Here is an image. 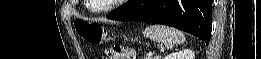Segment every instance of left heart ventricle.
<instances>
[{"label":"left heart ventricle","mask_w":261,"mask_h":59,"mask_svg":"<svg viewBox=\"0 0 261 59\" xmlns=\"http://www.w3.org/2000/svg\"><path fill=\"white\" fill-rule=\"evenodd\" d=\"M112 0H92L91 3L94 7L100 8L108 5Z\"/></svg>","instance_id":"1"}]
</instances>
